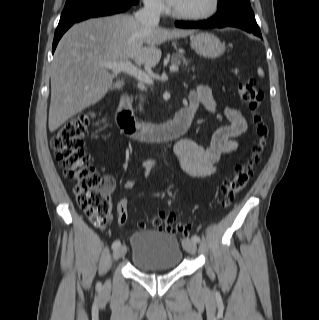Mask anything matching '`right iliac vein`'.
Masks as SVG:
<instances>
[{
	"instance_id": "obj_1",
	"label": "right iliac vein",
	"mask_w": 319,
	"mask_h": 320,
	"mask_svg": "<svg viewBox=\"0 0 319 320\" xmlns=\"http://www.w3.org/2000/svg\"><path fill=\"white\" fill-rule=\"evenodd\" d=\"M126 253V246L122 245L119 246L117 249L114 250L113 252V259L118 260L122 256H124Z\"/></svg>"
}]
</instances>
